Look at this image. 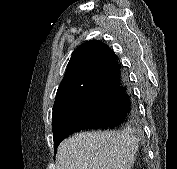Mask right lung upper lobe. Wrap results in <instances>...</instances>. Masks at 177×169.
<instances>
[{
    "mask_svg": "<svg viewBox=\"0 0 177 169\" xmlns=\"http://www.w3.org/2000/svg\"><path fill=\"white\" fill-rule=\"evenodd\" d=\"M116 58L113 51L99 40H90L80 45L72 54L67 70L57 90L59 102L83 86L89 79Z\"/></svg>",
    "mask_w": 177,
    "mask_h": 169,
    "instance_id": "right-lung-upper-lobe-1",
    "label": "right lung upper lobe"
}]
</instances>
